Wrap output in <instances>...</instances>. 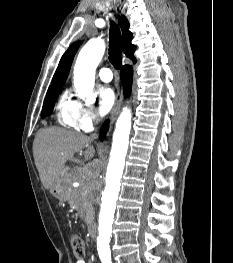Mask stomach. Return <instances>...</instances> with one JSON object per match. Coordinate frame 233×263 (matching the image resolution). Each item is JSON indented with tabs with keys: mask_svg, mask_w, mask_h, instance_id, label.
I'll return each instance as SVG.
<instances>
[{
	"mask_svg": "<svg viewBox=\"0 0 233 263\" xmlns=\"http://www.w3.org/2000/svg\"><path fill=\"white\" fill-rule=\"evenodd\" d=\"M50 192L55 198L61 201L67 200V194H68V172L67 171H64V173L57 179V181L51 188Z\"/></svg>",
	"mask_w": 233,
	"mask_h": 263,
	"instance_id": "obj_1",
	"label": "stomach"
}]
</instances>
